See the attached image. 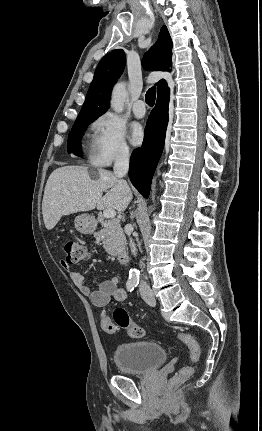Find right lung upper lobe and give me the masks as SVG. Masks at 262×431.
<instances>
[{"instance_id": "right-lung-upper-lobe-1", "label": "right lung upper lobe", "mask_w": 262, "mask_h": 431, "mask_svg": "<svg viewBox=\"0 0 262 431\" xmlns=\"http://www.w3.org/2000/svg\"><path fill=\"white\" fill-rule=\"evenodd\" d=\"M125 54L117 49L107 53L99 62L85 102L77 118H98L109 108L112 86L125 67ZM172 64V40L166 26H163L158 41L145 54L143 66L147 70L169 71ZM158 94L169 89L164 79L157 83Z\"/></svg>"}]
</instances>
